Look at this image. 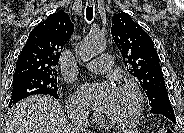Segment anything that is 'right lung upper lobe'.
I'll return each instance as SVG.
<instances>
[{"instance_id":"obj_1","label":"right lung upper lobe","mask_w":184,"mask_h":133,"mask_svg":"<svg viewBox=\"0 0 184 133\" xmlns=\"http://www.w3.org/2000/svg\"><path fill=\"white\" fill-rule=\"evenodd\" d=\"M74 25L68 14L59 11L48 16L29 34L17 63L13 78L24 76L56 77L61 50L70 39Z\"/></svg>"}]
</instances>
